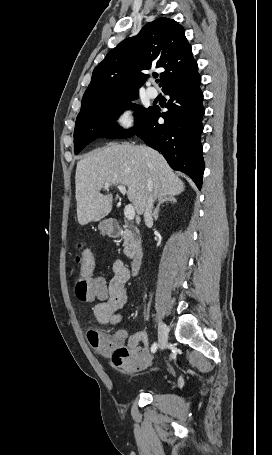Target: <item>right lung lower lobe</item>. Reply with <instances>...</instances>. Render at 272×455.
<instances>
[{"label":"right lung lower lobe","mask_w":272,"mask_h":455,"mask_svg":"<svg viewBox=\"0 0 272 455\" xmlns=\"http://www.w3.org/2000/svg\"><path fill=\"white\" fill-rule=\"evenodd\" d=\"M198 71L163 89L170 96L167 112L154 107L150 117L135 133L147 145L163 154L171 168L189 175L201 189L204 171L200 135L203 131V93ZM159 117L164 119L158 123ZM134 134V135H135Z\"/></svg>","instance_id":"1"}]
</instances>
